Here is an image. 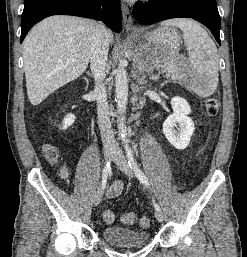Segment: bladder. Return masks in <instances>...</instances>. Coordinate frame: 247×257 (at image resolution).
I'll return each instance as SVG.
<instances>
[{"instance_id": "obj_1", "label": "bladder", "mask_w": 247, "mask_h": 257, "mask_svg": "<svg viewBox=\"0 0 247 257\" xmlns=\"http://www.w3.org/2000/svg\"><path fill=\"white\" fill-rule=\"evenodd\" d=\"M102 238L116 246H137L147 243L150 240V233L144 230L111 226L102 230Z\"/></svg>"}]
</instances>
